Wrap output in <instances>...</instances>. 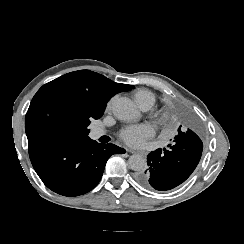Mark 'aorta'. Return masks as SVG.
Here are the masks:
<instances>
[{"instance_id":"aorta-1","label":"aorta","mask_w":244,"mask_h":244,"mask_svg":"<svg viewBox=\"0 0 244 244\" xmlns=\"http://www.w3.org/2000/svg\"><path fill=\"white\" fill-rule=\"evenodd\" d=\"M114 116L124 122H131L139 117L134 102L126 97L117 98L112 105ZM129 167L134 171H143L147 168L146 158L140 154H133L128 159Z\"/></svg>"}]
</instances>
